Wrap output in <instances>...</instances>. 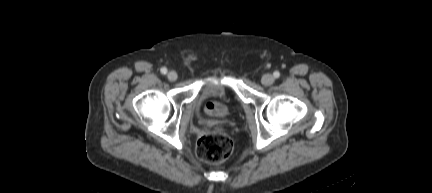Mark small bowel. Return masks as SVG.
Segmentation results:
<instances>
[{"mask_svg": "<svg viewBox=\"0 0 432 193\" xmlns=\"http://www.w3.org/2000/svg\"><path fill=\"white\" fill-rule=\"evenodd\" d=\"M206 112L210 115H218L222 113V109L217 105L209 104L206 107Z\"/></svg>", "mask_w": 432, "mask_h": 193, "instance_id": "c3829d8e", "label": "small bowel"}]
</instances>
